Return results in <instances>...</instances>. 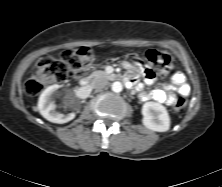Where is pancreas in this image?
I'll return each instance as SVG.
<instances>
[{"instance_id": "cf45deb5", "label": "pancreas", "mask_w": 222, "mask_h": 187, "mask_svg": "<svg viewBox=\"0 0 222 187\" xmlns=\"http://www.w3.org/2000/svg\"><path fill=\"white\" fill-rule=\"evenodd\" d=\"M92 78H105V79H113L115 77L114 74H107L105 71H95L91 74Z\"/></svg>"}]
</instances>
